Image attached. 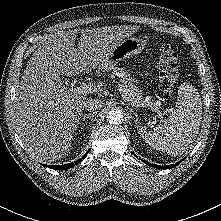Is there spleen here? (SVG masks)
I'll use <instances>...</instances> for the list:
<instances>
[{"label":"spleen","instance_id":"3e777b00","mask_svg":"<svg viewBox=\"0 0 221 221\" xmlns=\"http://www.w3.org/2000/svg\"><path fill=\"white\" fill-rule=\"evenodd\" d=\"M202 119V102L197 89L184 82L179 86L178 99L168 121L139 134L151 147L177 156L183 154L194 142Z\"/></svg>","mask_w":221,"mask_h":221}]
</instances>
